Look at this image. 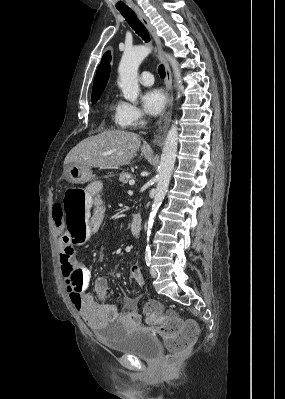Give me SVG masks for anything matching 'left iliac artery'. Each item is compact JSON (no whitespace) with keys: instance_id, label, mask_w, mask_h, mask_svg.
<instances>
[{"instance_id":"left-iliac-artery-1","label":"left iliac artery","mask_w":285,"mask_h":399,"mask_svg":"<svg viewBox=\"0 0 285 399\" xmlns=\"http://www.w3.org/2000/svg\"><path fill=\"white\" fill-rule=\"evenodd\" d=\"M145 261L148 267L151 266V251L150 248L147 247L145 251Z\"/></svg>"}]
</instances>
